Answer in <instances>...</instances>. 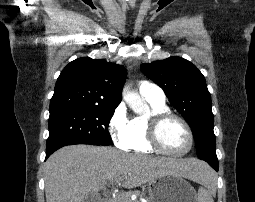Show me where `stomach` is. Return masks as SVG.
<instances>
[{
	"label": "stomach",
	"instance_id": "obj_1",
	"mask_svg": "<svg viewBox=\"0 0 255 202\" xmlns=\"http://www.w3.org/2000/svg\"><path fill=\"white\" fill-rule=\"evenodd\" d=\"M153 186H147L149 202H197L194 188L182 176L165 174L151 180Z\"/></svg>",
	"mask_w": 255,
	"mask_h": 202
}]
</instances>
